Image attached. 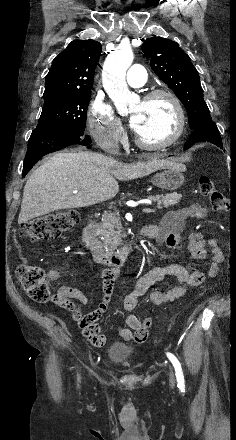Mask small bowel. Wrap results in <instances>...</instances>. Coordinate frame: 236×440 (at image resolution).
<instances>
[{
    "instance_id": "obj_1",
    "label": "small bowel",
    "mask_w": 236,
    "mask_h": 440,
    "mask_svg": "<svg viewBox=\"0 0 236 440\" xmlns=\"http://www.w3.org/2000/svg\"><path fill=\"white\" fill-rule=\"evenodd\" d=\"M206 213L204 207L195 203L167 213L159 225L153 226L150 237L158 244L165 248L187 252L194 261L201 263L202 267L190 264H168L154 267L143 274L137 280L134 290L126 296L123 302L124 310L127 312L125 322L128 328L120 330L119 336L122 340L147 338L148 326L142 324L140 319L131 313L140 297L148 294L152 304L162 305L182 298L191 287L198 286L207 277H214L217 274L224 259L217 239L213 238L206 243L201 234L197 232H191L187 241L181 238L186 228V220L189 217L204 218ZM208 253L211 255L209 260ZM118 274L117 269L102 272L103 299L95 310L85 316L81 308L88 304V297L81 289L62 286L54 296L56 305L71 313L72 318L79 322L78 327L82 330L83 336L94 346H102L105 342L99 330L98 319L108 308ZM49 276L52 281H56L59 278V271L52 270ZM169 276L175 277L179 285L167 291L151 290L155 283Z\"/></svg>"
}]
</instances>
